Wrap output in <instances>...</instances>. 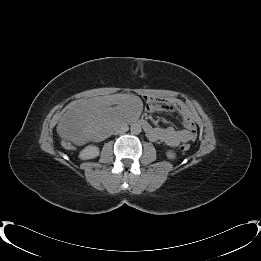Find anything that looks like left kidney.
<instances>
[{"instance_id":"left-kidney-1","label":"left kidney","mask_w":261,"mask_h":261,"mask_svg":"<svg viewBox=\"0 0 261 261\" xmlns=\"http://www.w3.org/2000/svg\"><path fill=\"white\" fill-rule=\"evenodd\" d=\"M166 156H167L168 159L173 160V159L176 158V153L172 150H168L166 152Z\"/></svg>"}]
</instances>
